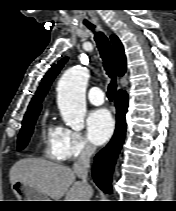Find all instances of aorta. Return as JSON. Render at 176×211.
Instances as JSON below:
<instances>
[{
	"instance_id": "aorta-1",
	"label": "aorta",
	"mask_w": 176,
	"mask_h": 211,
	"mask_svg": "<svg viewBox=\"0 0 176 211\" xmlns=\"http://www.w3.org/2000/svg\"><path fill=\"white\" fill-rule=\"evenodd\" d=\"M89 79L86 68H70L60 78L57 104L63 121L74 130L84 128L85 91Z\"/></svg>"
}]
</instances>
